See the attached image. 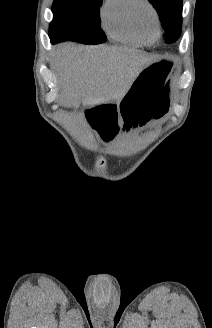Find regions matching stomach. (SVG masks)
<instances>
[{
    "instance_id": "stomach-1",
    "label": "stomach",
    "mask_w": 212,
    "mask_h": 328,
    "mask_svg": "<svg viewBox=\"0 0 212 328\" xmlns=\"http://www.w3.org/2000/svg\"><path fill=\"white\" fill-rule=\"evenodd\" d=\"M172 63L159 60L140 70L127 93L119 102H89L82 119L94 134L103 135L105 145L115 140L119 130L141 128L163 117L169 109L168 74ZM124 124V126H123Z\"/></svg>"
}]
</instances>
